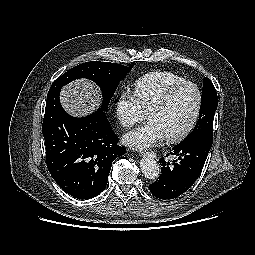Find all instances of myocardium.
<instances>
[{
	"mask_svg": "<svg viewBox=\"0 0 255 255\" xmlns=\"http://www.w3.org/2000/svg\"><path fill=\"white\" fill-rule=\"evenodd\" d=\"M185 86H192L197 92V104H196L195 112H194L189 124L186 126V128L184 130H182L180 133H178L176 135L166 136V140L169 143L181 142L194 129V127L200 117L201 110H202V103H203V95H202V91H201L200 87L196 83L191 82V81H183L181 83H178V84L174 85L173 87L169 88L161 96V98L152 106V108L148 112V116H149L151 113L163 109L168 104V102L170 101L173 94Z\"/></svg>",
	"mask_w": 255,
	"mask_h": 255,
	"instance_id": "f54148a6",
	"label": "myocardium"
}]
</instances>
